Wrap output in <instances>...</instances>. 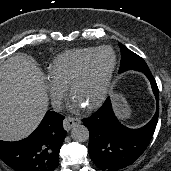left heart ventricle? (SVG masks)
<instances>
[{"mask_svg":"<svg viewBox=\"0 0 171 171\" xmlns=\"http://www.w3.org/2000/svg\"><path fill=\"white\" fill-rule=\"evenodd\" d=\"M113 63L109 50L99 52L92 60L83 78L76 84L72 96L84 106L93 103L101 94L104 81Z\"/></svg>","mask_w":171,"mask_h":171,"instance_id":"1","label":"left heart ventricle"}]
</instances>
